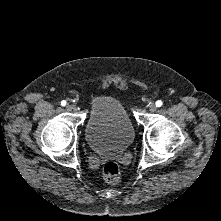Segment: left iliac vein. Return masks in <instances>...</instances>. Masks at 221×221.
Segmentation results:
<instances>
[{"label":"left iliac vein","instance_id":"left-iliac-vein-1","mask_svg":"<svg viewBox=\"0 0 221 221\" xmlns=\"http://www.w3.org/2000/svg\"><path fill=\"white\" fill-rule=\"evenodd\" d=\"M149 110H150L151 112H155V111L157 110V106H156L154 103H152V104L149 106Z\"/></svg>","mask_w":221,"mask_h":221}]
</instances>
